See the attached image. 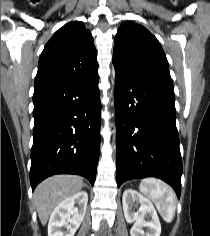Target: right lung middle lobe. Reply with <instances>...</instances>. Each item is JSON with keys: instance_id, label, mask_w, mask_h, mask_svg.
<instances>
[{"instance_id": "1", "label": "right lung middle lobe", "mask_w": 210, "mask_h": 236, "mask_svg": "<svg viewBox=\"0 0 210 236\" xmlns=\"http://www.w3.org/2000/svg\"><path fill=\"white\" fill-rule=\"evenodd\" d=\"M45 92H47V91H35L33 97H34V96L41 95V94H43V93H45Z\"/></svg>"}]
</instances>
